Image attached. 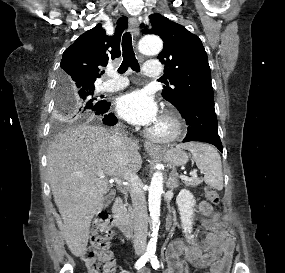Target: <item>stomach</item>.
Returning <instances> with one entry per match:
<instances>
[{
  "mask_svg": "<svg viewBox=\"0 0 285 273\" xmlns=\"http://www.w3.org/2000/svg\"><path fill=\"white\" fill-rule=\"evenodd\" d=\"M156 157L162 158L173 166H182L188 162V155L180 148H169Z\"/></svg>",
  "mask_w": 285,
  "mask_h": 273,
  "instance_id": "0dacf381",
  "label": "stomach"
}]
</instances>
